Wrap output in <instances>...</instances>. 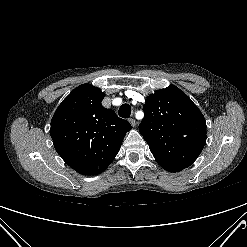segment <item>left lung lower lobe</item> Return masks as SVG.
<instances>
[{
  "label": "left lung lower lobe",
  "instance_id": "1",
  "mask_svg": "<svg viewBox=\"0 0 247 247\" xmlns=\"http://www.w3.org/2000/svg\"><path fill=\"white\" fill-rule=\"evenodd\" d=\"M159 164L165 170L170 171V172H179V171H181V170L184 169L183 167H179V166H175V165H170V164H165V163H162V162H159Z\"/></svg>",
  "mask_w": 247,
  "mask_h": 247
}]
</instances>
